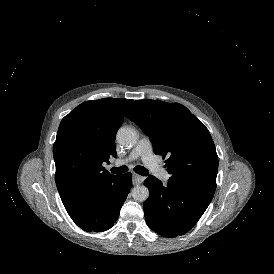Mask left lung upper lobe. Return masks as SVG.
<instances>
[{
    "label": "left lung upper lobe",
    "instance_id": "left-lung-upper-lobe-1",
    "mask_svg": "<svg viewBox=\"0 0 274 274\" xmlns=\"http://www.w3.org/2000/svg\"><path fill=\"white\" fill-rule=\"evenodd\" d=\"M126 116L149 136L165 161L170 179L216 189L218 156L208 129L179 103L137 100Z\"/></svg>",
    "mask_w": 274,
    "mask_h": 274
}]
</instances>
